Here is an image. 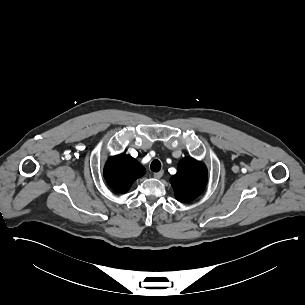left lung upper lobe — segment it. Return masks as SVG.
<instances>
[{"mask_svg":"<svg viewBox=\"0 0 305 305\" xmlns=\"http://www.w3.org/2000/svg\"><path fill=\"white\" fill-rule=\"evenodd\" d=\"M175 197L180 202H189L197 198L205 189L207 170L193 158H183L178 164L177 173L170 179Z\"/></svg>","mask_w":305,"mask_h":305,"instance_id":"obj_1","label":"left lung upper lobe"}]
</instances>
